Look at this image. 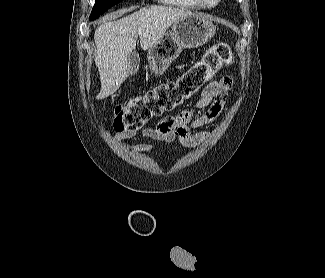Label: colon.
<instances>
[{
    "label": "colon",
    "instance_id": "obj_1",
    "mask_svg": "<svg viewBox=\"0 0 325 278\" xmlns=\"http://www.w3.org/2000/svg\"><path fill=\"white\" fill-rule=\"evenodd\" d=\"M234 57L227 43H217L202 59L180 77L157 85L143 95L114 108L115 131L139 130L150 120L170 112L188 100L220 69L233 64Z\"/></svg>",
    "mask_w": 325,
    "mask_h": 278
}]
</instances>
